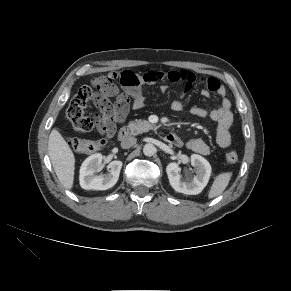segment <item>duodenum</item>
<instances>
[{
    "mask_svg": "<svg viewBox=\"0 0 291 291\" xmlns=\"http://www.w3.org/2000/svg\"><path fill=\"white\" fill-rule=\"evenodd\" d=\"M131 135V130L129 127H122L120 130H119V133H118V138L121 140V141H124L126 140L129 136ZM178 140L177 136L174 135V134H168L166 136V141L168 143H171V144H174L176 143Z\"/></svg>",
    "mask_w": 291,
    "mask_h": 291,
    "instance_id": "duodenum-1",
    "label": "duodenum"
}]
</instances>
